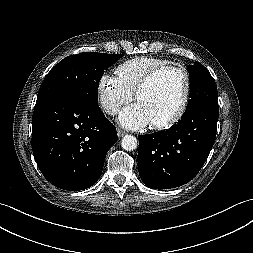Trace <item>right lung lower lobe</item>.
Here are the masks:
<instances>
[{
    "instance_id": "98d812e1",
    "label": "right lung lower lobe",
    "mask_w": 253,
    "mask_h": 253,
    "mask_svg": "<svg viewBox=\"0 0 253 253\" xmlns=\"http://www.w3.org/2000/svg\"><path fill=\"white\" fill-rule=\"evenodd\" d=\"M32 150L44 177L70 191L91 187L100 177L116 128L101 109L50 96L36 101Z\"/></svg>"
}]
</instances>
